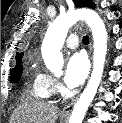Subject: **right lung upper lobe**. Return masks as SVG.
<instances>
[{
    "label": "right lung upper lobe",
    "instance_id": "cb5924a9",
    "mask_svg": "<svg viewBox=\"0 0 122 123\" xmlns=\"http://www.w3.org/2000/svg\"><path fill=\"white\" fill-rule=\"evenodd\" d=\"M22 57H23V52L16 53V66H19L20 64H22Z\"/></svg>",
    "mask_w": 122,
    "mask_h": 123
}]
</instances>
